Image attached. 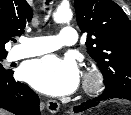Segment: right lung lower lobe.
Segmentation results:
<instances>
[{
    "instance_id": "obj_1",
    "label": "right lung lower lobe",
    "mask_w": 131,
    "mask_h": 115,
    "mask_svg": "<svg viewBox=\"0 0 131 115\" xmlns=\"http://www.w3.org/2000/svg\"><path fill=\"white\" fill-rule=\"evenodd\" d=\"M0 107L16 115H40L38 95L28 85L16 82L13 72L0 76Z\"/></svg>"
}]
</instances>
